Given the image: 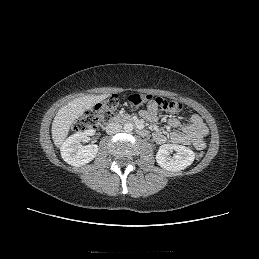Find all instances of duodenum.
<instances>
[{"label":"duodenum","mask_w":259,"mask_h":259,"mask_svg":"<svg viewBox=\"0 0 259 259\" xmlns=\"http://www.w3.org/2000/svg\"><path fill=\"white\" fill-rule=\"evenodd\" d=\"M118 121L135 123L136 127H137V132H138L139 135L147 136V134H148L147 130L138 121H136L134 118H132L129 115L114 116L106 122V126H110V125H112V124H114L115 122H118Z\"/></svg>","instance_id":"1"}]
</instances>
